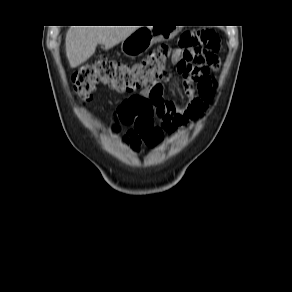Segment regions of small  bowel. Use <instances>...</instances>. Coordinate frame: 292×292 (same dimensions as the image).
<instances>
[{"label":"small bowel","instance_id":"1","mask_svg":"<svg viewBox=\"0 0 292 292\" xmlns=\"http://www.w3.org/2000/svg\"><path fill=\"white\" fill-rule=\"evenodd\" d=\"M218 51L219 45L207 59L197 63L191 72L184 75V89L187 94L184 102L166 100L161 94L155 116V127L161 134V141L165 136H174L200 119L212 103L216 88L212 72L219 66ZM123 142L134 152H139L144 139L139 129L130 125L123 136Z\"/></svg>","mask_w":292,"mask_h":292}]
</instances>
